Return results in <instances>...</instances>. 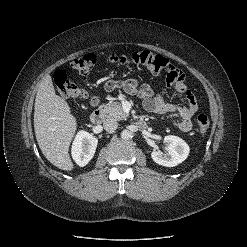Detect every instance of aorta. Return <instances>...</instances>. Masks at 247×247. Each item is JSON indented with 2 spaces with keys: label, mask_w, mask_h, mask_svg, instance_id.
<instances>
[{
  "label": "aorta",
  "mask_w": 247,
  "mask_h": 247,
  "mask_svg": "<svg viewBox=\"0 0 247 247\" xmlns=\"http://www.w3.org/2000/svg\"><path fill=\"white\" fill-rule=\"evenodd\" d=\"M121 138L124 140H128L131 138V132L129 130H123L121 132Z\"/></svg>",
  "instance_id": "obj_1"
}]
</instances>
